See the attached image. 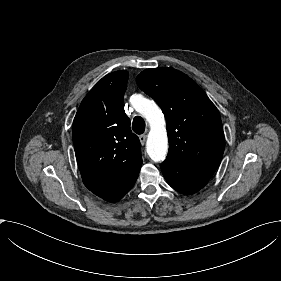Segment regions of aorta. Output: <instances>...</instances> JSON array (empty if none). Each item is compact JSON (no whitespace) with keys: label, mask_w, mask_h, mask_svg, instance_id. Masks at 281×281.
Listing matches in <instances>:
<instances>
[{"label":"aorta","mask_w":281,"mask_h":281,"mask_svg":"<svg viewBox=\"0 0 281 281\" xmlns=\"http://www.w3.org/2000/svg\"><path fill=\"white\" fill-rule=\"evenodd\" d=\"M130 102L137 112L142 114L150 125V132L146 143L149 157L155 162L165 159L168 151V138L165 118L160 108L141 95H134Z\"/></svg>","instance_id":"762f6f07"}]
</instances>
